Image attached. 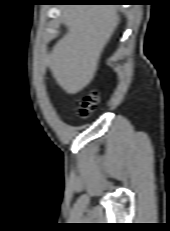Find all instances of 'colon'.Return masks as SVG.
Returning a JSON list of instances; mask_svg holds the SVG:
<instances>
[{
	"label": "colon",
	"instance_id": "obj_1",
	"mask_svg": "<svg viewBox=\"0 0 170 231\" xmlns=\"http://www.w3.org/2000/svg\"><path fill=\"white\" fill-rule=\"evenodd\" d=\"M99 101V94L96 91L89 93L81 103L80 106V116L82 118H87L91 115Z\"/></svg>",
	"mask_w": 170,
	"mask_h": 231
}]
</instances>
